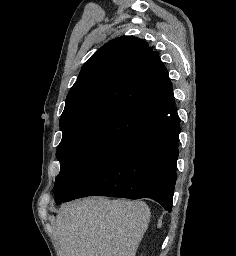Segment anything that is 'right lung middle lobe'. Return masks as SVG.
<instances>
[{
  "label": "right lung middle lobe",
  "instance_id": "obj_1",
  "mask_svg": "<svg viewBox=\"0 0 236 256\" xmlns=\"http://www.w3.org/2000/svg\"><path fill=\"white\" fill-rule=\"evenodd\" d=\"M145 123L128 112L116 111L62 130L56 151L61 166L54 187L56 202L67 198L103 159Z\"/></svg>",
  "mask_w": 236,
  "mask_h": 256
}]
</instances>
